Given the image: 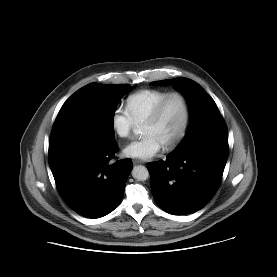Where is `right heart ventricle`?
Returning <instances> with one entry per match:
<instances>
[{
    "label": "right heart ventricle",
    "mask_w": 277,
    "mask_h": 277,
    "mask_svg": "<svg viewBox=\"0 0 277 277\" xmlns=\"http://www.w3.org/2000/svg\"><path fill=\"white\" fill-rule=\"evenodd\" d=\"M169 93V91L157 89L138 91L128 97L126 109L136 124H143L158 103Z\"/></svg>",
    "instance_id": "e07e8e85"
}]
</instances>
